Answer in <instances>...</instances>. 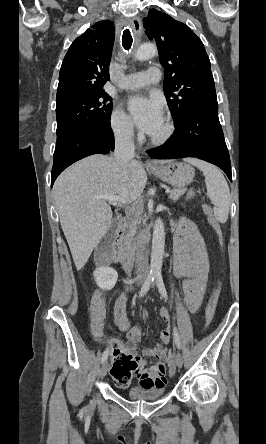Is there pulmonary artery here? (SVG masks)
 I'll list each match as a JSON object with an SVG mask.
<instances>
[{
  "instance_id": "pulmonary-artery-1",
  "label": "pulmonary artery",
  "mask_w": 266,
  "mask_h": 444,
  "mask_svg": "<svg viewBox=\"0 0 266 444\" xmlns=\"http://www.w3.org/2000/svg\"><path fill=\"white\" fill-rule=\"evenodd\" d=\"M162 73L159 67L151 66L145 72L129 74L125 77L121 86L125 89H137L157 83Z\"/></svg>"
}]
</instances>
